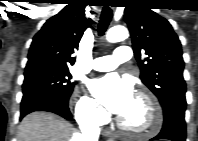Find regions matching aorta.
<instances>
[{"mask_svg": "<svg viewBox=\"0 0 198 141\" xmlns=\"http://www.w3.org/2000/svg\"><path fill=\"white\" fill-rule=\"evenodd\" d=\"M129 33L126 27L124 26H114L109 29L106 35V39L109 42H119L128 38Z\"/></svg>", "mask_w": 198, "mask_h": 141, "instance_id": "obj_1", "label": "aorta"}]
</instances>
